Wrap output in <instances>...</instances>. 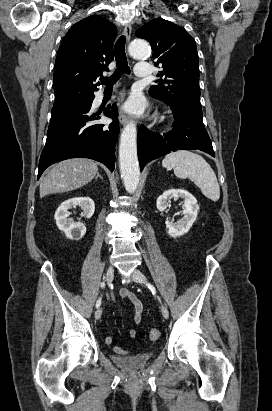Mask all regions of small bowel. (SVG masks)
Returning a JSON list of instances; mask_svg holds the SVG:
<instances>
[{"mask_svg": "<svg viewBox=\"0 0 272 411\" xmlns=\"http://www.w3.org/2000/svg\"><path fill=\"white\" fill-rule=\"evenodd\" d=\"M118 298L121 299H127L129 300L132 305L134 306V317H133V321L136 325H139L142 322V313L144 310V305L142 303V301L129 289L127 288H122L119 290L118 292ZM113 301L116 303V297L113 296ZM127 335L129 338H134L136 336V331L134 329H129L127 331ZM108 338V339H107ZM108 344L111 343L112 338L111 337H106ZM114 352L117 354H126L127 350L121 346H115L114 347Z\"/></svg>", "mask_w": 272, "mask_h": 411, "instance_id": "1", "label": "small bowel"}]
</instances>
